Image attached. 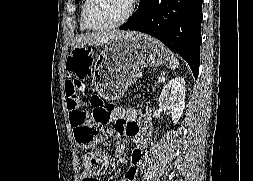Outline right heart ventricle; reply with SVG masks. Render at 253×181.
Segmentation results:
<instances>
[{
    "label": "right heart ventricle",
    "mask_w": 253,
    "mask_h": 181,
    "mask_svg": "<svg viewBox=\"0 0 253 181\" xmlns=\"http://www.w3.org/2000/svg\"><path fill=\"white\" fill-rule=\"evenodd\" d=\"M85 1H86V0H84V2H83L82 9H83V7H84ZM80 29H81L82 31L87 30V28L84 26L83 21H82V12H81V19H80Z\"/></svg>",
    "instance_id": "obj_1"
}]
</instances>
